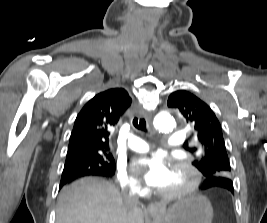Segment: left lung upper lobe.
<instances>
[{
  "label": "left lung upper lobe",
  "mask_w": 267,
  "mask_h": 223,
  "mask_svg": "<svg viewBox=\"0 0 267 223\" xmlns=\"http://www.w3.org/2000/svg\"><path fill=\"white\" fill-rule=\"evenodd\" d=\"M167 105L178 109L197 133L202 153L192 164L204 176L205 173H226V179H230L231 167L221 125L210 107L185 90L173 92ZM212 179L215 178H206L205 182Z\"/></svg>",
  "instance_id": "5c2ea615"
}]
</instances>
